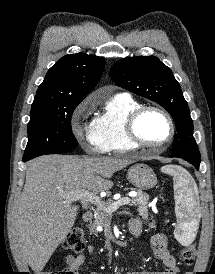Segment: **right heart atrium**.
<instances>
[{
  "label": "right heart atrium",
  "instance_id": "d8ad5b80",
  "mask_svg": "<svg viewBox=\"0 0 215 274\" xmlns=\"http://www.w3.org/2000/svg\"><path fill=\"white\" fill-rule=\"evenodd\" d=\"M89 111L90 103L88 101H84L76 109L72 124L74 135L87 152L93 154L105 153L104 147L95 135L92 122L88 123L86 121Z\"/></svg>",
  "mask_w": 215,
  "mask_h": 274
}]
</instances>
